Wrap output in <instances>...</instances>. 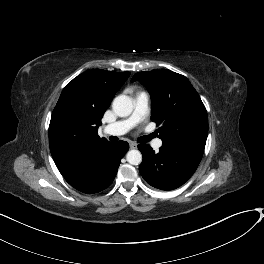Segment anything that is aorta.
<instances>
[{
	"mask_svg": "<svg viewBox=\"0 0 264 264\" xmlns=\"http://www.w3.org/2000/svg\"><path fill=\"white\" fill-rule=\"evenodd\" d=\"M112 108L119 117L129 116L133 111L132 99L126 95H119L113 100ZM126 159L129 164L138 165L142 162V154L138 150H130Z\"/></svg>",
	"mask_w": 264,
	"mask_h": 264,
	"instance_id": "aorta-1",
	"label": "aorta"
}]
</instances>
